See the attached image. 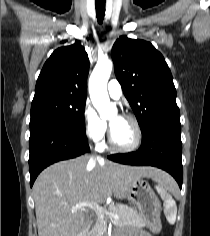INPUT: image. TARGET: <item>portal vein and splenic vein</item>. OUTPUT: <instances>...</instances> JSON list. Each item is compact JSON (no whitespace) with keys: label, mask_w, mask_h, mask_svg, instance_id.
<instances>
[{"label":"portal vein and splenic vein","mask_w":210,"mask_h":236,"mask_svg":"<svg viewBox=\"0 0 210 236\" xmlns=\"http://www.w3.org/2000/svg\"><path fill=\"white\" fill-rule=\"evenodd\" d=\"M85 206H90V205H88L87 203H80V204L74 206V207L72 208V210H76V209H78V208L85 207ZM90 207L93 208V209L96 211V213L99 214V215L106 214V215H108L109 217L113 218L114 220L119 219V215L105 211V210L103 209V207H101V206L98 205V204H94L93 206H90Z\"/></svg>","instance_id":"obj_1"}]
</instances>
